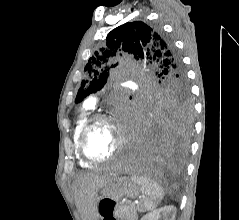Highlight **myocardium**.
<instances>
[{"mask_svg": "<svg viewBox=\"0 0 239 220\" xmlns=\"http://www.w3.org/2000/svg\"><path fill=\"white\" fill-rule=\"evenodd\" d=\"M98 123L112 124L116 128V130L118 132V135H119L118 142H117L115 150L109 156H107L105 158H94V157H92L88 153L87 147H86L87 137H88L90 131ZM123 145H124V137H123L120 129L118 128V126L115 124L114 118L112 116H108V115H105V114H95L87 120V122L85 123V125L83 126V128L80 132V136H79V152H80V155L82 156V158L84 160H86L87 162H89L91 164H102V163H106V162H109V161L113 160L117 156V154L121 151V149L123 148Z\"/></svg>", "mask_w": 239, "mask_h": 220, "instance_id": "1", "label": "myocardium"}]
</instances>
